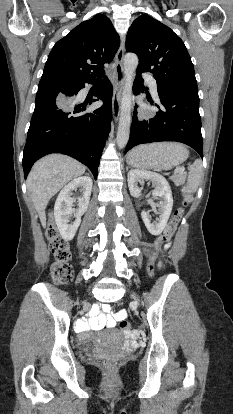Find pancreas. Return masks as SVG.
I'll return each instance as SVG.
<instances>
[{
    "instance_id": "1",
    "label": "pancreas",
    "mask_w": 233,
    "mask_h": 414,
    "mask_svg": "<svg viewBox=\"0 0 233 414\" xmlns=\"http://www.w3.org/2000/svg\"><path fill=\"white\" fill-rule=\"evenodd\" d=\"M185 179V175L184 173H180L179 175H177L176 177L173 178V180H175L176 182H183Z\"/></svg>"
}]
</instances>
